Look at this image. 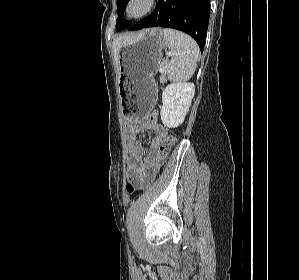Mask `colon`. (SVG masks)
I'll return each mask as SVG.
<instances>
[{"instance_id":"obj_1","label":"colon","mask_w":299,"mask_h":280,"mask_svg":"<svg viewBox=\"0 0 299 280\" xmlns=\"http://www.w3.org/2000/svg\"><path fill=\"white\" fill-rule=\"evenodd\" d=\"M156 118H157L156 112H151L146 117V119L148 121H155ZM174 143H175L174 135L169 134L166 138V141H165L164 145L161 148V152H160L158 160L155 163V166L160 167L165 162V160L167 159V156L170 153ZM154 171H155L154 168L150 169L149 173H148L149 174L148 177L146 179L140 181V182L129 181V183L127 184L128 193H133L137 189H143V188L147 187L149 185V183L151 182V180L153 179L152 175H153Z\"/></svg>"}]
</instances>
